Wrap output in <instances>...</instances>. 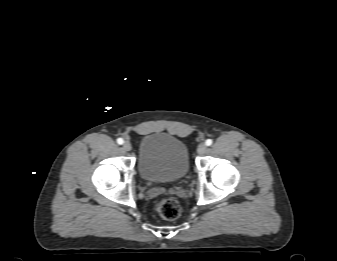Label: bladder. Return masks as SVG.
<instances>
[{
  "label": "bladder",
  "instance_id": "31cf9c89",
  "mask_svg": "<svg viewBox=\"0 0 337 261\" xmlns=\"http://www.w3.org/2000/svg\"><path fill=\"white\" fill-rule=\"evenodd\" d=\"M138 170L147 182L181 181L189 172L187 147L180 139L165 133L145 135L139 144Z\"/></svg>",
  "mask_w": 337,
  "mask_h": 261
}]
</instances>
